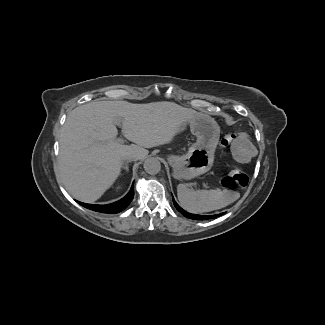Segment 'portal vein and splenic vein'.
<instances>
[{
  "label": "portal vein and splenic vein",
  "instance_id": "portal-vein-and-splenic-vein-1",
  "mask_svg": "<svg viewBox=\"0 0 325 325\" xmlns=\"http://www.w3.org/2000/svg\"><path fill=\"white\" fill-rule=\"evenodd\" d=\"M115 123H116V125H119L120 124L118 120H116ZM116 142L123 143V140L122 139H118Z\"/></svg>",
  "mask_w": 325,
  "mask_h": 325
}]
</instances>
